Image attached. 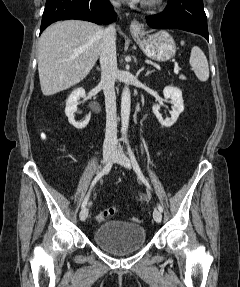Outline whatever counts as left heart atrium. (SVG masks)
<instances>
[{"label": "left heart atrium", "instance_id": "left-heart-atrium-1", "mask_svg": "<svg viewBox=\"0 0 240 287\" xmlns=\"http://www.w3.org/2000/svg\"><path fill=\"white\" fill-rule=\"evenodd\" d=\"M127 1L139 2V1H141V0H127Z\"/></svg>", "mask_w": 240, "mask_h": 287}]
</instances>
